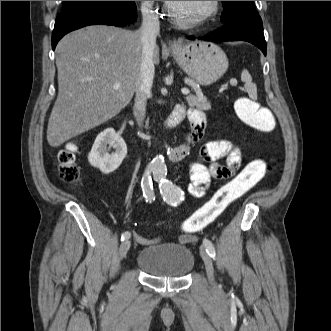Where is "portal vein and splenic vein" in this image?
<instances>
[{"label":"portal vein and splenic vein","mask_w":331,"mask_h":331,"mask_svg":"<svg viewBox=\"0 0 331 331\" xmlns=\"http://www.w3.org/2000/svg\"><path fill=\"white\" fill-rule=\"evenodd\" d=\"M113 88L114 89H119L120 88V83H115L114 85H113ZM181 92H182V94H184V95H188L189 93H190V90L188 89V88H182L181 89Z\"/></svg>","instance_id":"1"}]
</instances>
